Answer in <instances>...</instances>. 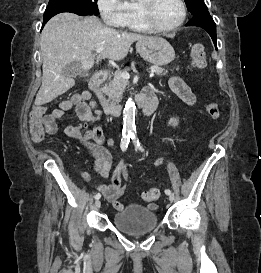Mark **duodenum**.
Wrapping results in <instances>:
<instances>
[{"label":"duodenum","instance_id":"410a0bca","mask_svg":"<svg viewBox=\"0 0 261 273\" xmlns=\"http://www.w3.org/2000/svg\"><path fill=\"white\" fill-rule=\"evenodd\" d=\"M107 79L106 72L96 73L90 82V88L92 90H97ZM137 105L143 112L144 116H149L152 114L157 106V100L151 90H145L139 94L137 97ZM124 105L122 103H109L104 104L105 113L109 116H118L122 114Z\"/></svg>","mask_w":261,"mask_h":273}]
</instances>
